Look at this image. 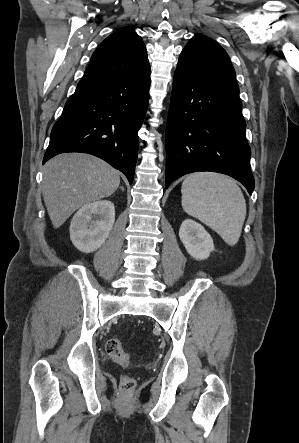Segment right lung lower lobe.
Masks as SVG:
<instances>
[{
  "label": "right lung lower lobe",
  "mask_w": 299,
  "mask_h": 443,
  "mask_svg": "<svg viewBox=\"0 0 299 443\" xmlns=\"http://www.w3.org/2000/svg\"><path fill=\"white\" fill-rule=\"evenodd\" d=\"M150 73L112 80L80 81L55 123L43 164L65 152L100 157L132 183L145 117Z\"/></svg>",
  "instance_id": "1"
}]
</instances>
